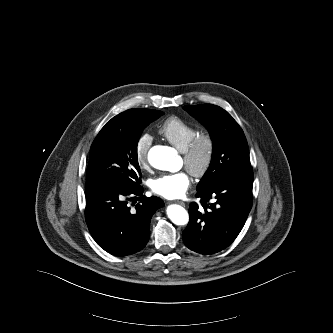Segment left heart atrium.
I'll use <instances>...</instances> for the list:
<instances>
[{
  "label": "left heart atrium",
  "mask_w": 333,
  "mask_h": 333,
  "mask_svg": "<svg viewBox=\"0 0 333 333\" xmlns=\"http://www.w3.org/2000/svg\"><path fill=\"white\" fill-rule=\"evenodd\" d=\"M190 187V178L186 172L165 174L151 181V190L166 199L183 197Z\"/></svg>",
  "instance_id": "left-heart-atrium-1"
}]
</instances>
